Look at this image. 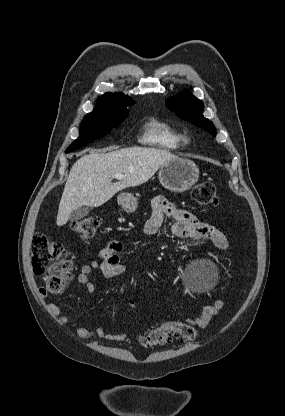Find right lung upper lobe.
<instances>
[{
	"mask_svg": "<svg viewBox=\"0 0 285 416\" xmlns=\"http://www.w3.org/2000/svg\"><path fill=\"white\" fill-rule=\"evenodd\" d=\"M135 102L127 95L122 93L107 92L97 99L95 110H118L131 106Z\"/></svg>",
	"mask_w": 285,
	"mask_h": 416,
	"instance_id": "obj_1",
	"label": "right lung upper lobe"
}]
</instances>
